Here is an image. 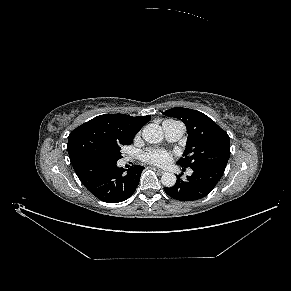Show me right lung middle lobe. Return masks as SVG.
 <instances>
[{
	"mask_svg": "<svg viewBox=\"0 0 291 291\" xmlns=\"http://www.w3.org/2000/svg\"><path fill=\"white\" fill-rule=\"evenodd\" d=\"M121 146L117 145L110 148H104V149H97L94 150L90 156H99V157H105L114 161H118L121 156Z\"/></svg>",
	"mask_w": 291,
	"mask_h": 291,
	"instance_id": "right-lung-middle-lobe-1",
	"label": "right lung middle lobe"
}]
</instances>
